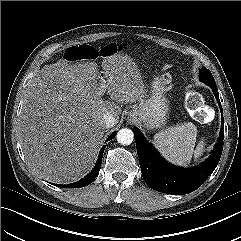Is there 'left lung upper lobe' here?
Returning a JSON list of instances; mask_svg holds the SVG:
<instances>
[{
  "instance_id": "1",
  "label": "left lung upper lobe",
  "mask_w": 241,
  "mask_h": 241,
  "mask_svg": "<svg viewBox=\"0 0 241 241\" xmlns=\"http://www.w3.org/2000/svg\"><path fill=\"white\" fill-rule=\"evenodd\" d=\"M200 78H201V81H203L207 85H210V84L216 85L215 80H214L211 72L207 68H203L200 71Z\"/></svg>"
}]
</instances>
